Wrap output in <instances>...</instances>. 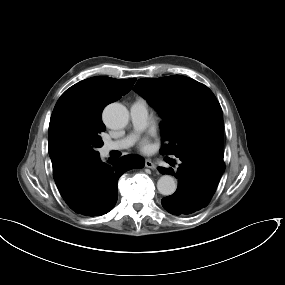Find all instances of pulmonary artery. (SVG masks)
I'll list each match as a JSON object with an SVG mask.
<instances>
[{"instance_id": "1", "label": "pulmonary artery", "mask_w": 285, "mask_h": 285, "mask_svg": "<svg viewBox=\"0 0 285 285\" xmlns=\"http://www.w3.org/2000/svg\"><path fill=\"white\" fill-rule=\"evenodd\" d=\"M130 119L135 131L142 130L146 127L148 122V109L143 99H137L130 105ZM132 142V135L117 140L106 141L103 145V153L126 149Z\"/></svg>"}]
</instances>
